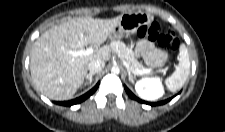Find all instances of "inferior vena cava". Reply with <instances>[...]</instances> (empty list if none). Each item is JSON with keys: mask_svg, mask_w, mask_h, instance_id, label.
Here are the masks:
<instances>
[{"mask_svg": "<svg viewBox=\"0 0 225 132\" xmlns=\"http://www.w3.org/2000/svg\"><path fill=\"white\" fill-rule=\"evenodd\" d=\"M105 66V62L101 61V60H92L89 64H88V70L90 71V73H97L99 71H101Z\"/></svg>", "mask_w": 225, "mask_h": 132, "instance_id": "602c4592", "label": "inferior vena cava"}]
</instances>
